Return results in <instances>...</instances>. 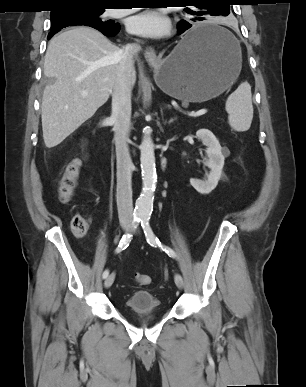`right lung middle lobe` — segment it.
Instances as JSON below:
<instances>
[{
	"label": "right lung middle lobe",
	"mask_w": 306,
	"mask_h": 387,
	"mask_svg": "<svg viewBox=\"0 0 306 387\" xmlns=\"http://www.w3.org/2000/svg\"><path fill=\"white\" fill-rule=\"evenodd\" d=\"M104 11V7L73 6L62 8L59 12H51V32L56 33L64 27L76 25H86L96 29L117 26L118 23L113 24L101 19ZM50 35L53 34L49 33L48 36Z\"/></svg>",
	"instance_id": "dd1d6c3e"
}]
</instances>
